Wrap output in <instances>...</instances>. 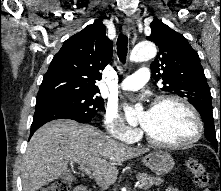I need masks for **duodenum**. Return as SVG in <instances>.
<instances>
[{"label":"duodenum","instance_id":"1","mask_svg":"<svg viewBox=\"0 0 221 191\" xmlns=\"http://www.w3.org/2000/svg\"><path fill=\"white\" fill-rule=\"evenodd\" d=\"M74 191H87V188L84 185H78L75 187Z\"/></svg>","mask_w":221,"mask_h":191}]
</instances>
